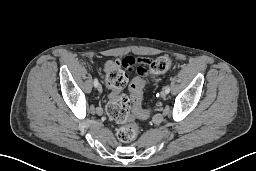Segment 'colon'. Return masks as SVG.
Returning a JSON list of instances; mask_svg holds the SVG:
<instances>
[{"instance_id": "5ec220e1", "label": "colon", "mask_w": 256, "mask_h": 171, "mask_svg": "<svg viewBox=\"0 0 256 171\" xmlns=\"http://www.w3.org/2000/svg\"><path fill=\"white\" fill-rule=\"evenodd\" d=\"M172 59L167 56H159L150 62V69L155 74L164 73L171 68ZM127 73L123 69H114L106 76V83L111 89L106 112L115 123L122 124L117 131V137L121 142L134 141L139 134V127L134 120L136 115H147L148 112L141 106L145 80L137 78L129 87L130 97L121 91L127 83Z\"/></svg>"}]
</instances>
